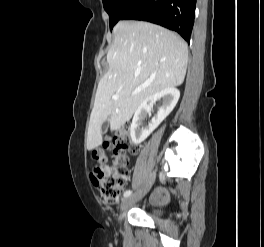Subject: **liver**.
Segmentation results:
<instances>
[{
	"mask_svg": "<svg viewBox=\"0 0 264 247\" xmlns=\"http://www.w3.org/2000/svg\"><path fill=\"white\" fill-rule=\"evenodd\" d=\"M113 34L109 69L99 82L90 116L88 150L102 143L101 126L106 120L111 131L120 129L143 101L180 86L186 74L187 44L175 33L147 22L119 21ZM113 95L119 99L113 100Z\"/></svg>",
	"mask_w": 264,
	"mask_h": 247,
	"instance_id": "6515ba94",
	"label": "liver"
}]
</instances>
